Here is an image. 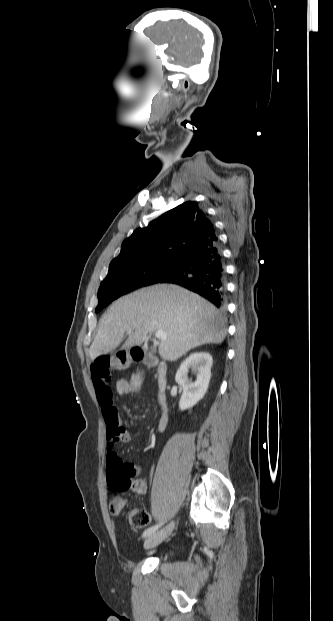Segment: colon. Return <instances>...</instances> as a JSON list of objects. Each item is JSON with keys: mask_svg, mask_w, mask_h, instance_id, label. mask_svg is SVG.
I'll list each match as a JSON object with an SVG mask.
<instances>
[{"mask_svg": "<svg viewBox=\"0 0 333 621\" xmlns=\"http://www.w3.org/2000/svg\"><path fill=\"white\" fill-rule=\"evenodd\" d=\"M143 374L136 373L129 380H126L128 395L137 396L141 392ZM108 481L110 486L118 492L131 489V469L128 467H115L108 471ZM125 505L122 498H117L110 502L109 510L113 515H118ZM128 522L135 528L146 527L150 523V515L143 509H133L128 513Z\"/></svg>", "mask_w": 333, "mask_h": 621, "instance_id": "5ec220e1", "label": "colon"}]
</instances>
